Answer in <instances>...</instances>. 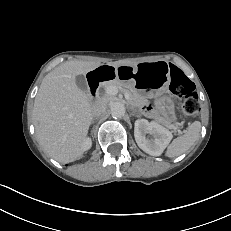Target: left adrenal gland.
<instances>
[{"label": "left adrenal gland", "instance_id": "a2214340", "mask_svg": "<svg viewBox=\"0 0 231 231\" xmlns=\"http://www.w3.org/2000/svg\"><path fill=\"white\" fill-rule=\"evenodd\" d=\"M132 112H133V114H134V115H136V114H137V115H139V116H140V114H138V113H137V110H136V109L132 108Z\"/></svg>", "mask_w": 231, "mask_h": 231}]
</instances>
